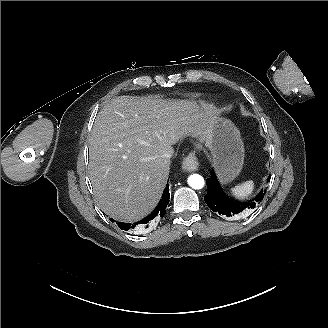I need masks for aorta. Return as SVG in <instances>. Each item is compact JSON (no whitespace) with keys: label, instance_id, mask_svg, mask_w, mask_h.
<instances>
[{"label":"aorta","instance_id":"aorta-1","mask_svg":"<svg viewBox=\"0 0 328 328\" xmlns=\"http://www.w3.org/2000/svg\"><path fill=\"white\" fill-rule=\"evenodd\" d=\"M189 186L193 189H202L205 185L204 178L199 174H192L187 180Z\"/></svg>","mask_w":328,"mask_h":328}]
</instances>
